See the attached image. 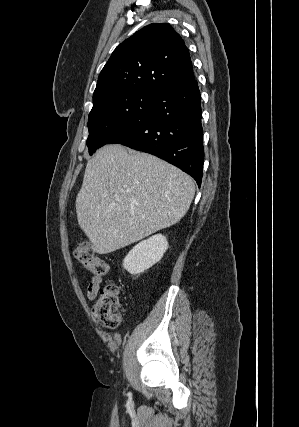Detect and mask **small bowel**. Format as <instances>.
<instances>
[{
  "instance_id": "small-bowel-1",
  "label": "small bowel",
  "mask_w": 299,
  "mask_h": 427,
  "mask_svg": "<svg viewBox=\"0 0 299 427\" xmlns=\"http://www.w3.org/2000/svg\"><path fill=\"white\" fill-rule=\"evenodd\" d=\"M102 282L101 276H93L87 286V297L89 300H95L98 296L100 285Z\"/></svg>"
}]
</instances>
